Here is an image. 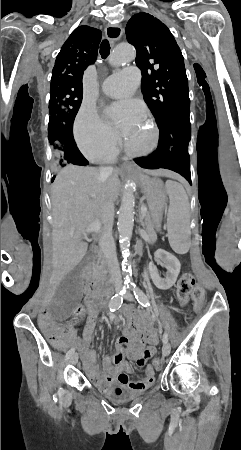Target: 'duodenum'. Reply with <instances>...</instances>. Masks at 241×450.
Returning <instances> with one entry per match:
<instances>
[{"label": "duodenum", "instance_id": "1", "mask_svg": "<svg viewBox=\"0 0 241 450\" xmlns=\"http://www.w3.org/2000/svg\"><path fill=\"white\" fill-rule=\"evenodd\" d=\"M83 281L87 287L94 289L95 295L99 300L102 301L109 297L110 288L98 284L95 276L90 270H85L83 272Z\"/></svg>", "mask_w": 241, "mask_h": 450}]
</instances>
